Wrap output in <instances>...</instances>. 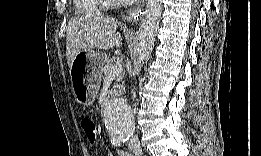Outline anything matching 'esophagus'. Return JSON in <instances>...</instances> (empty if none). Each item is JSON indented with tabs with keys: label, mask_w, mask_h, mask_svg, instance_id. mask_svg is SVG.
Listing matches in <instances>:
<instances>
[{
	"label": "esophagus",
	"mask_w": 261,
	"mask_h": 156,
	"mask_svg": "<svg viewBox=\"0 0 261 156\" xmlns=\"http://www.w3.org/2000/svg\"><path fill=\"white\" fill-rule=\"evenodd\" d=\"M142 16V11L140 7L131 9L129 12V20L130 21H135L136 19H138L139 17Z\"/></svg>",
	"instance_id": "obj_1"
}]
</instances>
